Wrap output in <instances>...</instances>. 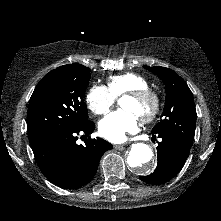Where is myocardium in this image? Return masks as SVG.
<instances>
[{"instance_id":"myocardium-1","label":"myocardium","mask_w":221,"mask_h":221,"mask_svg":"<svg viewBox=\"0 0 221 221\" xmlns=\"http://www.w3.org/2000/svg\"><path fill=\"white\" fill-rule=\"evenodd\" d=\"M127 97L133 98L138 102L149 101L151 103V109L145 115L139 117L143 123H149L153 121L160 112L161 101L158 93L150 88L135 90L126 93Z\"/></svg>"}]
</instances>
